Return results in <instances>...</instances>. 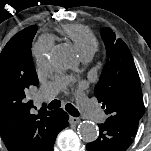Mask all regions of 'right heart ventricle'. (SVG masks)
<instances>
[{
	"mask_svg": "<svg viewBox=\"0 0 151 151\" xmlns=\"http://www.w3.org/2000/svg\"><path fill=\"white\" fill-rule=\"evenodd\" d=\"M60 32L75 44L81 56L93 54L97 50L96 37L89 28L83 25L67 24L60 28Z\"/></svg>",
	"mask_w": 151,
	"mask_h": 151,
	"instance_id": "right-heart-ventricle-1",
	"label": "right heart ventricle"
}]
</instances>
